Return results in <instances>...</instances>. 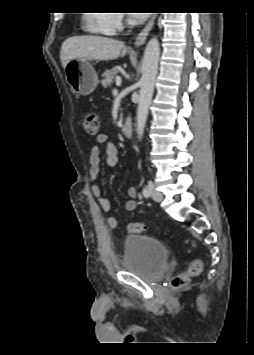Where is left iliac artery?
<instances>
[{"instance_id": "1", "label": "left iliac artery", "mask_w": 254, "mask_h": 355, "mask_svg": "<svg viewBox=\"0 0 254 355\" xmlns=\"http://www.w3.org/2000/svg\"><path fill=\"white\" fill-rule=\"evenodd\" d=\"M142 194H143V196L146 197V198L149 197L150 193H149V188H148L147 186H145V187L143 188Z\"/></svg>"}]
</instances>
